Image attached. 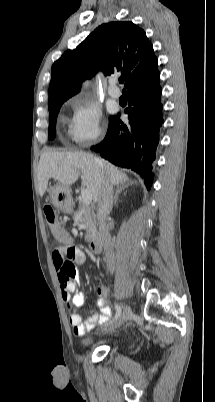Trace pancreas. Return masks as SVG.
I'll use <instances>...</instances> for the list:
<instances>
[{"instance_id": "1", "label": "pancreas", "mask_w": 215, "mask_h": 402, "mask_svg": "<svg viewBox=\"0 0 215 402\" xmlns=\"http://www.w3.org/2000/svg\"><path fill=\"white\" fill-rule=\"evenodd\" d=\"M74 221L76 224L86 229V240L92 241L96 238L97 231V221L94 213L86 207L80 206L79 209L74 212L73 215Z\"/></svg>"}]
</instances>
